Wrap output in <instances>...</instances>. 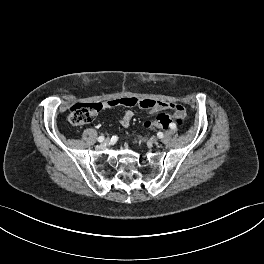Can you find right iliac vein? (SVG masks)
<instances>
[{
	"instance_id": "right-iliac-vein-1",
	"label": "right iliac vein",
	"mask_w": 264,
	"mask_h": 264,
	"mask_svg": "<svg viewBox=\"0 0 264 264\" xmlns=\"http://www.w3.org/2000/svg\"><path fill=\"white\" fill-rule=\"evenodd\" d=\"M111 141V138L110 137H107L105 141H103L102 143L104 144H107V142H110Z\"/></svg>"
}]
</instances>
